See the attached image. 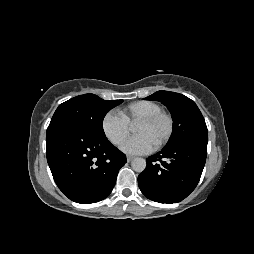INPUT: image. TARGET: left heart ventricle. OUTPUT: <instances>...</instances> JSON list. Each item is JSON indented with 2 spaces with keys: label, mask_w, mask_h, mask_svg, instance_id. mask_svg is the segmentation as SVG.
Returning a JSON list of instances; mask_svg holds the SVG:
<instances>
[{
  "label": "left heart ventricle",
  "mask_w": 254,
  "mask_h": 254,
  "mask_svg": "<svg viewBox=\"0 0 254 254\" xmlns=\"http://www.w3.org/2000/svg\"><path fill=\"white\" fill-rule=\"evenodd\" d=\"M168 123L165 119H159L152 124H137L135 126V133L147 136L154 146L158 144L166 135Z\"/></svg>",
  "instance_id": "1"
}]
</instances>
